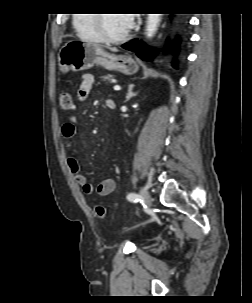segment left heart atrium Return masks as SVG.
<instances>
[{
  "mask_svg": "<svg viewBox=\"0 0 252 303\" xmlns=\"http://www.w3.org/2000/svg\"><path fill=\"white\" fill-rule=\"evenodd\" d=\"M126 22L128 24V26H132L134 24V19H135V16L134 14H126Z\"/></svg>",
  "mask_w": 252,
  "mask_h": 303,
  "instance_id": "1",
  "label": "left heart atrium"
}]
</instances>
